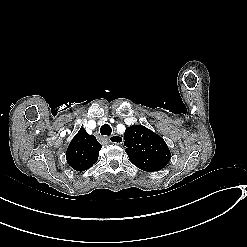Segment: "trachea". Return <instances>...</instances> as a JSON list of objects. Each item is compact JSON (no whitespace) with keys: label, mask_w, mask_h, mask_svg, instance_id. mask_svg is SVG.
<instances>
[{"label":"trachea","mask_w":247,"mask_h":247,"mask_svg":"<svg viewBox=\"0 0 247 247\" xmlns=\"http://www.w3.org/2000/svg\"><path fill=\"white\" fill-rule=\"evenodd\" d=\"M100 133L104 136H109L112 133V128L109 124H104L100 128Z\"/></svg>","instance_id":"obj_1"}]
</instances>
